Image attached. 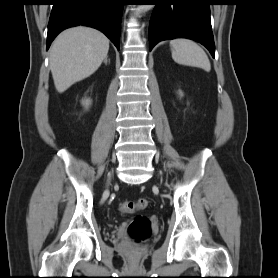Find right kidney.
I'll use <instances>...</instances> for the list:
<instances>
[{
	"label": "right kidney",
	"instance_id": "right-kidney-1",
	"mask_svg": "<svg viewBox=\"0 0 278 278\" xmlns=\"http://www.w3.org/2000/svg\"><path fill=\"white\" fill-rule=\"evenodd\" d=\"M83 104L86 105V107H88L90 104V100L89 99L84 100Z\"/></svg>",
	"mask_w": 278,
	"mask_h": 278
}]
</instances>
